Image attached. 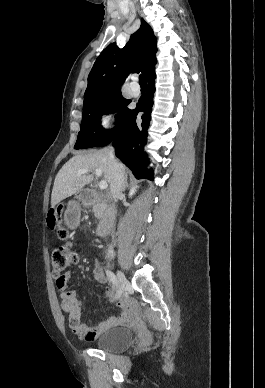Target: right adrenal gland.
Here are the masks:
<instances>
[{
	"label": "right adrenal gland",
	"mask_w": 265,
	"mask_h": 388,
	"mask_svg": "<svg viewBox=\"0 0 265 388\" xmlns=\"http://www.w3.org/2000/svg\"><path fill=\"white\" fill-rule=\"evenodd\" d=\"M127 180H128V178H125V182L123 184L122 192H124V190H126V188H129Z\"/></svg>",
	"instance_id": "1"
}]
</instances>
